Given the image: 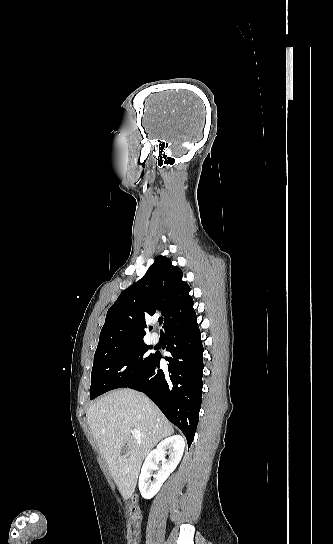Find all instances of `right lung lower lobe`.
I'll return each mask as SVG.
<instances>
[{"mask_svg":"<svg viewBox=\"0 0 333 544\" xmlns=\"http://www.w3.org/2000/svg\"><path fill=\"white\" fill-rule=\"evenodd\" d=\"M168 370L160 367L155 353L141 378L126 386L145 393L169 421L184 433L191 445L197 428L202 396L203 345L196 314L165 329Z\"/></svg>","mask_w":333,"mask_h":544,"instance_id":"obj_1","label":"right lung lower lobe"}]
</instances>
